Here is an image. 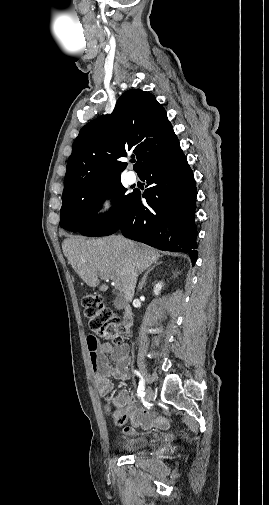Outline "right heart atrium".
Masks as SVG:
<instances>
[{
  "instance_id": "obj_1",
  "label": "right heart atrium",
  "mask_w": 269,
  "mask_h": 505,
  "mask_svg": "<svg viewBox=\"0 0 269 505\" xmlns=\"http://www.w3.org/2000/svg\"><path fill=\"white\" fill-rule=\"evenodd\" d=\"M118 206L117 197L112 192L101 195L93 205V215L96 220L103 222L109 220Z\"/></svg>"
}]
</instances>
